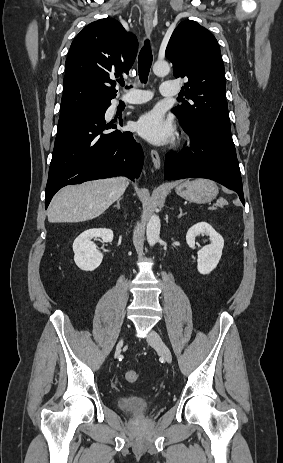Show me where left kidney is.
Returning <instances> with one entry per match:
<instances>
[{
	"mask_svg": "<svg viewBox=\"0 0 283 463\" xmlns=\"http://www.w3.org/2000/svg\"><path fill=\"white\" fill-rule=\"evenodd\" d=\"M200 234L209 236L211 244L204 246L197 252V269L201 274H209L220 261L224 239L210 224L199 222L190 227L186 234V242L190 248H195V238Z\"/></svg>",
	"mask_w": 283,
	"mask_h": 463,
	"instance_id": "left-kidney-1",
	"label": "left kidney"
}]
</instances>
